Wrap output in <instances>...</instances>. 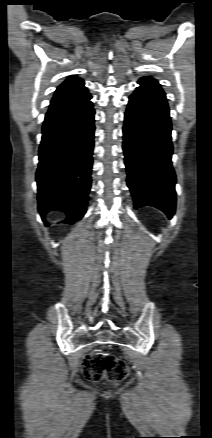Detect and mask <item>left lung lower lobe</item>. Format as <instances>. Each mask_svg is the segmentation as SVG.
Here are the masks:
<instances>
[{"instance_id": "left-lung-lower-lobe-1", "label": "left lung lower lobe", "mask_w": 212, "mask_h": 438, "mask_svg": "<svg viewBox=\"0 0 212 438\" xmlns=\"http://www.w3.org/2000/svg\"><path fill=\"white\" fill-rule=\"evenodd\" d=\"M130 96L123 127L127 184L134 208L153 206L169 218L175 212L176 176L171 157V121L157 80L143 77Z\"/></svg>"}]
</instances>
